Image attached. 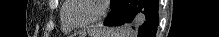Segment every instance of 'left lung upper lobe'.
Returning a JSON list of instances; mask_svg holds the SVG:
<instances>
[{
    "label": "left lung upper lobe",
    "instance_id": "5c2ea615",
    "mask_svg": "<svg viewBox=\"0 0 219 37\" xmlns=\"http://www.w3.org/2000/svg\"><path fill=\"white\" fill-rule=\"evenodd\" d=\"M117 1L118 0H111V5H110L111 10L113 9Z\"/></svg>",
    "mask_w": 219,
    "mask_h": 37
}]
</instances>
